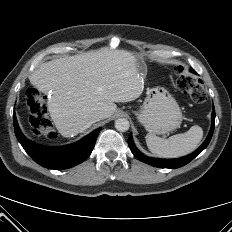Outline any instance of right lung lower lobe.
<instances>
[{"instance_id": "98d812e1", "label": "right lung lower lobe", "mask_w": 232, "mask_h": 232, "mask_svg": "<svg viewBox=\"0 0 232 232\" xmlns=\"http://www.w3.org/2000/svg\"><path fill=\"white\" fill-rule=\"evenodd\" d=\"M15 134L27 152L38 164L49 169H66L80 164L91 154L100 129H97L80 141L66 146L46 147L28 140L20 131L15 113L13 114Z\"/></svg>"}]
</instances>
